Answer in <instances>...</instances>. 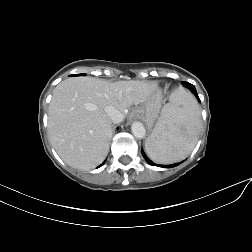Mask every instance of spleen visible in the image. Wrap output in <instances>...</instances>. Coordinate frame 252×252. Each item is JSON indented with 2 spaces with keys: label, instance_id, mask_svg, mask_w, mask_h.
<instances>
[{
  "label": "spleen",
  "instance_id": "1",
  "mask_svg": "<svg viewBox=\"0 0 252 252\" xmlns=\"http://www.w3.org/2000/svg\"><path fill=\"white\" fill-rule=\"evenodd\" d=\"M201 127L200 110L194 97L178 88L162 110L145 143L149 157L158 163L185 159L195 147Z\"/></svg>",
  "mask_w": 252,
  "mask_h": 252
}]
</instances>
